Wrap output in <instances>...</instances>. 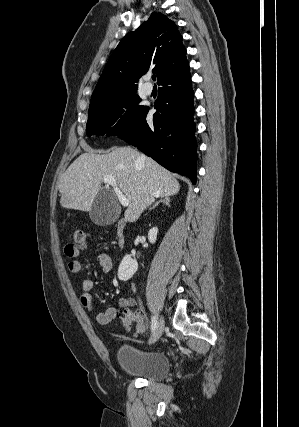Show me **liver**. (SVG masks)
I'll list each match as a JSON object with an SVG mask.
<instances>
[{
    "instance_id": "1",
    "label": "liver",
    "mask_w": 299,
    "mask_h": 427,
    "mask_svg": "<svg viewBox=\"0 0 299 427\" xmlns=\"http://www.w3.org/2000/svg\"><path fill=\"white\" fill-rule=\"evenodd\" d=\"M105 177H112L128 199V222L138 220L155 198L180 190L174 174L153 159L131 147H116L108 154L83 153L68 167L59 182L61 206L90 211Z\"/></svg>"
}]
</instances>
